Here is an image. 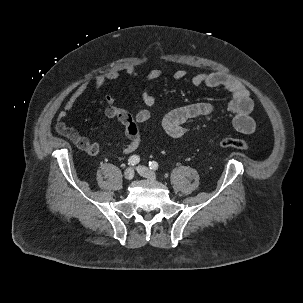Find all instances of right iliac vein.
Segmentation results:
<instances>
[{"mask_svg": "<svg viewBox=\"0 0 303 303\" xmlns=\"http://www.w3.org/2000/svg\"><path fill=\"white\" fill-rule=\"evenodd\" d=\"M134 177V170L133 168L129 167L124 171V178L126 180H132Z\"/></svg>", "mask_w": 303, "mask_h": 303, "instance_id": "1", "label": "right iliac vein"}]
</instances>
